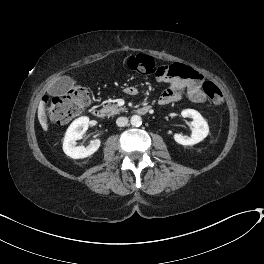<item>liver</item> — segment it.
Listing matches in <instances>:
<instances>
[{"label":"liver","mask_w":264,"mask_h":264,"mask_svg":"<svg viewBox=\"0 0 264 264\" xmlns=\"http://www.w3.org/2000/svg\"><path fill=\"white\" fill-rule=\"evenodd\" d=\"M38 117H39V121H40L42 128L45 131H48V123L46 120V108H45V103L43 101L40 103V106H39Z\"/></svg>","instance_id":"6515ba94"}]
</instances>
